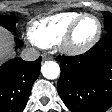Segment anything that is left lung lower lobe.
Returning a JSON list of instances; mask_svg holds the SVG:
<instances>
[{
  "mask_svg": "<svg viewBox=\"0 0 112 112\" xmlns=\"http://www.w3.org/2000/svg\"><path fill=\"white\" fill-rule=\"evenodd\" d=\"M57 91L72 112H105L112 106V32L78 56H58Z\"/></svg>",
  "mask_w": 112,
  "mask_h": 112,
  "instance_id": "obj_1",
  "label": "left lung lower lobe"
}]
</instances>
